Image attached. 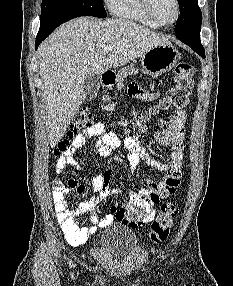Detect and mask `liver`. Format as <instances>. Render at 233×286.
<instances>
[{"mask_svg":"<svg viewBox=\"0 0 233 286\" xmlns=\"http://www.w3.org/2000/svg\"><path fill=\"white\" fill-rule=\"evenodd\" d=\"M168 42L165 36L126 19L80 17L60 26L38 49L50 146L59 143L84 102L83 85L89 74L101 75L126 65ZM105 46L113 49L105 52Z\"/></svg>","mask_w":233,"mask_h":286,"instance_id":"1","label":"liver"}]
</instances>
